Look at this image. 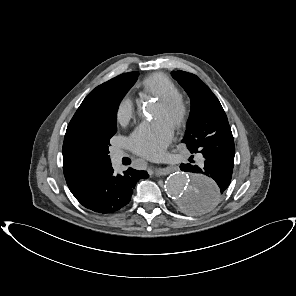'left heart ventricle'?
Wrapping results in <instances>:
<instances>
[{"instance_id": "b2bd125f", "label": "left heart ventricle", "mask_w": 296, "mask_h": 296, "mask_svg": "<svg viewBox=\"0 0 296 296\" xmlns=\"http://www.w3.org/2000/svg\"><path fill=\"white\" fill-rule=\"evenodd\" d=\"M154 118H162L172 124V117L170 113L160 104L158 103L153 112Z\"/></svg>"}]
</instances>
